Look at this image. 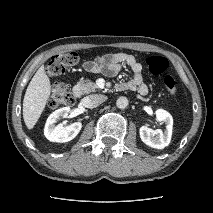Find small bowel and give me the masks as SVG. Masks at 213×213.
Here are the masks:
<instances>
[{"label": "small bowel", "instance_id": "c3829d8e", "mask_svg": "<svg viewBox=\"0 0 213 213\" xmlns=\"http://www.w3.org/2000/svg\"><path fill=\"white\" fill-rule=\"evenodd\" d=\"M124 65L130 67L134 73V77L128 81L119 82L116 85V88L118 90L136 91L141 95H146L148 93V87L143 81L142 65L131 54H109L84 62L83 68L89 72L115 76L121 71Z\"/></svg>", "mask_w": 213, "mask_h": 213}]
</instances>
